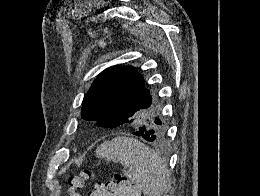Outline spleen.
Listing matches in <instances>:
<instances>
[{
  "label": "spleen",
  "instance_id": "spleen-1",
  "mask_svg": "<svg viewBox=\"0 0 260 196\" xmlns=\"http://www.w3.org/2000/svg\"><path fill=\"white\" fill-rule=\"evenodd\" d=\"M95 154L97 158H107L124 166V176L135 182L144 196H162L170 188L167 164L157 152L135 138L117 136L111 142L100 144Z\"/></svg>",
  "mask_w": 260,
  "mask_h": 196
}]
</instances>
